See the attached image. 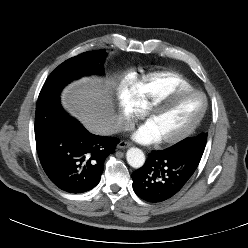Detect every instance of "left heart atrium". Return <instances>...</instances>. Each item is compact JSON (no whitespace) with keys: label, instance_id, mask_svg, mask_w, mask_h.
Listing matches in <instances>:
<instances>
[{"label":"left heart atrium","instance_id":"1","mask_svg":"<svg viewBox=\"0 0 248 248\" xmlns=\"http://www.w3.org/2000/svg\"><path fill=\"white\" fill-rule=\"evenodd\" d=\"M134 139L144 144L155 143L160 140L148 123L140 126L133 135Z\"/></svg>","mask_w":248,"mask_h":248}]
</instances>
